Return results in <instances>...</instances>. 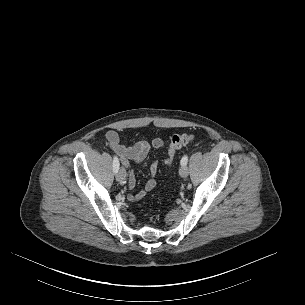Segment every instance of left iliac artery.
Masks as SVG:
<instances>
[{
  "label": "left iliac artery",
  "instance_id": "left-iliac-artery-1",
  "mask_svg": "<svg viewBox=\"0 0 305 305\" xmlns=\"http://www.w3.org/2000/svg\"><path fill=\"white\" fill-rule=\"evenodd\" d=\"M187 162H188V156L185 155V156H183L182 159H181V165H186Z\"/></svg>",
  "mask_w": 305,
  "mask_h": 305
}]
</instances>
